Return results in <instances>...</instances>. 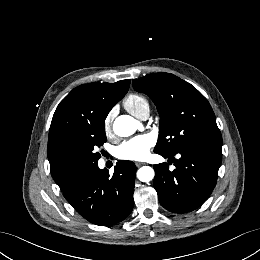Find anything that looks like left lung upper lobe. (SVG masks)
<instances>
[{
  "label": "left lung upper lobe",
  "mask_w": 260,
  "mask_h": 260,
  "mask_svg": "<svg viewBox=\"0 0 260 260\" xmlns=\"http://www.w3.org/2000/svg\"><path fill=\"white\" fill-rule=\"evenodd\" d=\"M133 87L153 100L160 116L154 152L175 155L191 146H222L210 104L188 82L173 74L152 73L135 79Z\"/></svg>",
  "instance_id": "5c2ea615"
}]
</instances>
